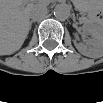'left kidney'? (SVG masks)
Listing matches in <instances>:
<instances>
[{"mask_svg":"<svg viewBox=\"0 0 103 103\" xmlns=\"http://www.w3.org/2000/svg\"><path fill=\"white\" fill-rule=\"evenodd\" d=\"M74 45L81 54L92 58H98L102 55V34L92 32V38L87 40V44L74 43Z\"/></svg>","mask_w":103,"mask_h":103,"instance_id":"1","label":"left kidney"}]
</instances>
